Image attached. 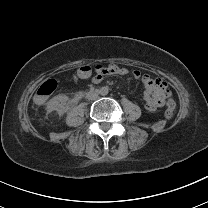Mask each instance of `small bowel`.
I'll use <instances>...</instances> for the list:
<instances>
[{
	"label": "small bowel",
	"mask_w": 208,
	"mask_h": 208,
	"mask_svg": "<svg viewBox=\"0 0 208 208\" xmlns=\"http://www.w3.org/2000/svg\"><path fill=\"white\" fill-rule=\"evenodd\" d=\"M135 76H139V72L135 71ZM127 75L128 70L124 67L109 66L105 69H99L96 77L93 78L95 83H99L104 79L105 75ZM143 82L146 86V92L143 96V101L148 110L154 111L164 104L167 97L171 95L167 84L158 78H153L150 75L145 74L143 76Z\"/></svg>",
	"instance_id": "small-bowel-1"
}]
</instances>
